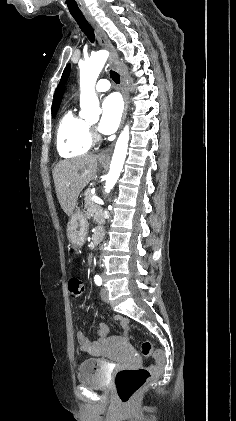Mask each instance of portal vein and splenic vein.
Instances as JSON below:
<instances>
[{
  "instance_id": "1",
  "label": "portal vein and splenic vein",
  "mask_w": 236,
  "mask_h": 421,
  "mask_svg": "<svg viewBox=\"0 0 236 421\" xmlns=\"http://www.w3.org/2000/svg\"><path fill=\"white\" fill-rule=\"evenodd\" d=\"M91 200H95L98 204H104L102 198H99V196H92Z\"/></svg>"
}]
</instances>
